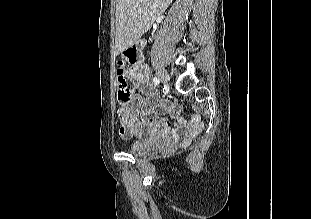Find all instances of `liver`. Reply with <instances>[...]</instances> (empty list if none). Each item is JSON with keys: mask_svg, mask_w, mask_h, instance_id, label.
I'll return each instance as SVG.
<instances>
[{"mask_svg": "<svg viewBox=\"0 0 311 219\" xmlns=\"http://www.w3.org/2000/svg\"><path fill=\"white\" fill-rule=\"evenodd\" d=\"M173 0H116L115 55L147 32Z\"/></svg>", "mask_w": 311, "mask_h": 219, "instance_id": "liver-1", "label": "liver"}]
</instances>
